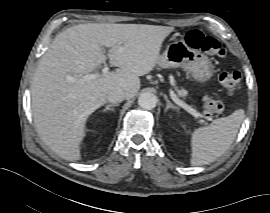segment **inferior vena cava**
Masks as SVG:
<instances>
[{"mask_svg":"<svg viewBox=\"0 0 270 213\" xmlns=\"http://www.w3.org/2000/svg\"><path fill=\"white\" fill-rule=\"evenodd\" d=\"M107 99L110 103L117 104L127 99V95L122 90L117 89L110 92Z\"/></svg>","mask_w":270,"mask_h":213,"instance_id":"1","label":"inferior vena cava"}]
</instances>
